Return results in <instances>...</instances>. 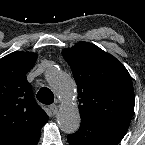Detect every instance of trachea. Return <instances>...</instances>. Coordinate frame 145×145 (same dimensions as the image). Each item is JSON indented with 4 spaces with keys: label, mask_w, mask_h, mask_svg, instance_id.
<instances>
[{
    "label": "trachea",
    "mask_w": 145,
    "mask_h": 145,
    "mask_svg": "<svg viewBox=\"0 0 145 145\" xmlns=\"http://www.w3.org/2000/svg\"><path fill=\"white\" fill-rule=\"evenodd\" d=\"M36 98L43 104L49 105L52 104L54 102V94L53 92L47 88V87H43L41 88L38 93Z\"/></svg>",
    "instance_id": "obj_1"
}]
</instances>
